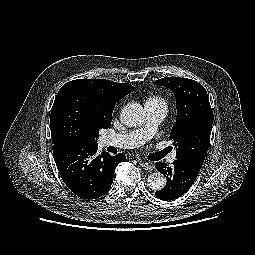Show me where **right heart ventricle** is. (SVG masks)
I'll return each mask as SVG.
<instances>
[{"label":"right heart ventricle","mask_w":255,"mask_h":255,"mask_svg":"<svg viewBox=\"0 0 255 255\" xmlns=\"http://www.w3.org/2000/svg\"><path fill=\"white\" fill-rule=\"evenodd\" d=\"M145 104H160L166 106V101L163 97L156 95L149 97Z\"/></svg>","instance_id":"e07e8e85"}]
</instances>
